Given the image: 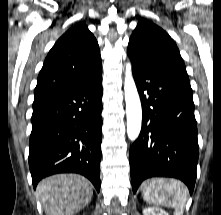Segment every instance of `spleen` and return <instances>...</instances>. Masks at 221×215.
<instances>
[{"mask_svg":"<svg viewBox=\"0 0 221 215\" xmlns=\"http://www.w3.org/2000/svg\"><path fill=\"white\" fill-rule=\"evenodd\" d=\"M187 194L185 186L177 180L152 179L144 184L142 190L146 202L172 207L175 215H183Z\"/></svg>","mask_w":221,"mask_h":215,"instance_id":"3e777b00","label":"spleen"}]
</instances>
